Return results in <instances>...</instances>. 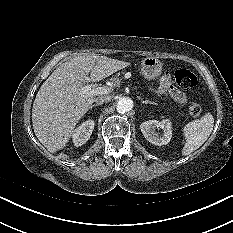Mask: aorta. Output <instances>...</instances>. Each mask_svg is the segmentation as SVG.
I'll list each match as a JSON object with an SVG mask.
<instances>
[{"label": "aorta", "mask_w": 233, "mask_h": 233, "mask_svg": "<svg viewBox=\"0 0 233 233\" xmlns=\"http://www.w3.org/2000/svg\"><path fill=\"white\" fill-rule=\"evenodd\" d=\"M133 108V101L129 97H121L117 103V112L123 114L129 112Z\"/></svg>", "instance_id": "obj_1"}]
</instances>
